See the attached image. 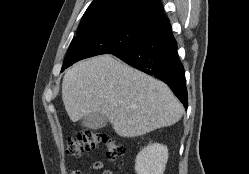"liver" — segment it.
<instances>
[{"instance_id": "liver-1", "label": "liver", "mask_w": 249, "mask_h": 174, "mask_svg": "<svg viewBox=\"0 0 249 174\" xmlns=\"http://www.w3.org/2000/svg\"><path fill=\"white\" fill-rule=\"evenodd\" d=\"M62 100L71 121L101 113L121 137L171 126L184 111L165 83L111 55L73 65L63 78Z\"/></svg>"}]
</instances>
